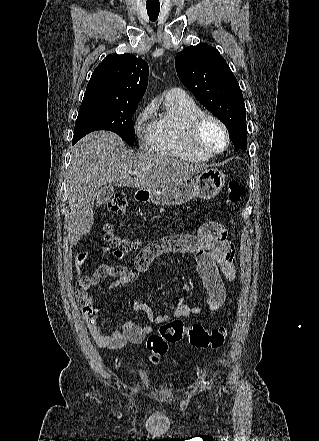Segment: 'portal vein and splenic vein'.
Instances as JSON below:
<instances>
[{
	"label": "portal vein and splenic vein",
	"instance_id": "18ae733b",
	"mask_svg": "<svg viewBox=\"0 0 319 441\" xmlns=\"http://www.w3.org/2000/svg\"><path fill=\"white\" fill-rule=\"evenodd\" d=\"M139 172L140 171L136 169V170L132 171L131 174L137 175V174H139Z\"/></svg>",
	"mask_w": 319,
	"mask_h": 441
}]
</instances>
